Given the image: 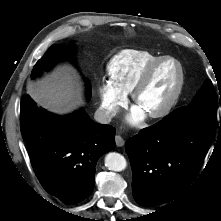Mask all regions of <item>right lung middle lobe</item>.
<instances>
[{
  "label": "right lung middle lobe",
  "mask_w": 221,
  "mask_h": 221,
  "mask_svg": "<svg viewBox=\"0 0 221 221\" xmlns=\"http://www.w3.org/2000/svg\"><path fill=\"white\" fill-rule=\"evenodd\" d=\"M72 53V49H64V46H51L45 55L36 63L34 66L31 77H35L41 73L42 70L50 69L53 65L59 62L61 59L65 58ZM87 96L91 95V85L86 83Z\"/></svg>",
  "instance_id": "right-lung-middle-lobe-1"
}]
</instances>
